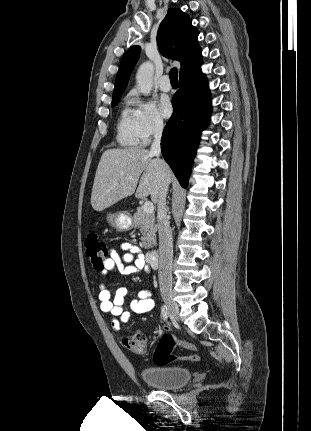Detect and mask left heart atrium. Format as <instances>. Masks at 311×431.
I'll return each instance as SVG.
<instances>
[{
	"label": "left heart atrium",
	"instance_id": "39dd6f15",
	"mask_svg": "<svg viewBox=\"0 0 311 431\" xmlns=\"http://www.w3.org/2000/svg\"><path fill=\"white\" fill-rule=\"evenodd\" d=\"M161 110L164 117L169 118L173 113V105L169 97H163L161 100Z\"/></svg>",
	"mask_w": 311,
	"mask_h": 431
}]
</instances>
